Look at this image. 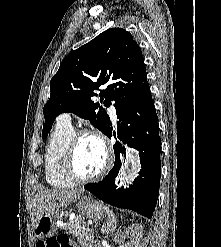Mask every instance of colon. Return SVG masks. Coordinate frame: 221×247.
<instances>
[{
    "label": "colon",
    "instance_id": "colon-1",
    "mask_svg": "<svg viewBox=\"0 0 221 247\" xmlns=\"http://www.w3.org/2000/svg\"><path fill=\"white\" fill-rule=\"evenodd\" d=\"M68 244L67 237L65 235H58L45 240L44 243H39V247H66Z\"/></svg>",
    "mask_w": 221,
    "mask_h": 247
}]
</instances>
